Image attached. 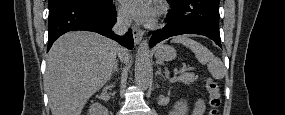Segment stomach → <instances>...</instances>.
I'll return each mask as SVG.
<instances>
[{
    "label": "stomach",
    "mask_w": 285,
    "mask_h": 115,
    "mask_svg": "<svg viewBox=\"0 0 285 115\" xmlns=\"http://www.w3.org/2000/svg\"><path fill=\"white\" fill-rule=\"evenodd\" d=\"M155 57L162 61H172L176 58V50L168 45H162L155 49Z\"/></svg>",
    "instance_id": "0dacf381"
}]
</instances>
